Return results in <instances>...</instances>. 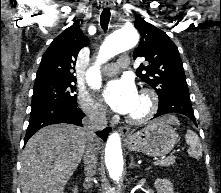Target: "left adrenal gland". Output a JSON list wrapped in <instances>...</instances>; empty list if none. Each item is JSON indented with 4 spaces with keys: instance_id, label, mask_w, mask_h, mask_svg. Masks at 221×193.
I'll return each instance as SVG.
<instances>
[{
    "instance_id": "1",
    "label": "left adrenal gland",
    "mask_w": 221,
    "mask_h": 193,
    "mask_svg": "<svg viewBox=\"0 0 221 193\" xmlns=\"http://www.w3.org/2000/svg\"><path fill=\"white\" fill-rule=\"evenodd\" d=\"M135 167H138V165L134 163V158L133 156H131V163L129 164V168H135Z\"/></svg>"
}]
</instances>
